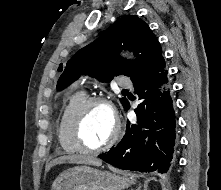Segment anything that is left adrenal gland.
I'll return each instance as SVG.
<instances>
[{
	"instance_id": "a2214340",
	"label": "left adrenal gland",
	"mask_w": 221,
	"mask_h": 190,
	"mask_svg": "<svg viewBox=\"0 0 221 190\" xmlns=\"http://www.w3.org/2000/svg\"><path fill=\"white\" fill-rule=\"evenodd\" d=\"M141 189V186H139L136 190H140ZM131 190H133V189H131Z\"/></svg>"
}]
</instances>
